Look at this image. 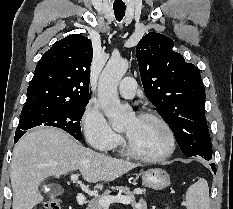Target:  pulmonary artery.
Masks as SVG:
<instances>
[{
	"mask_svg": "<svg viewBox=\"0 0 233 209\" xmlns=\"http://www.w3.org/2000/svg\"><path fill=\"white\" fill-rule=\"evenodd\" d=\"M119 93L124 98H133L136 93V81L132 77H124L118 87Z\"/></svg>",
	"mask_w": 233,
	"mask_h": 209,
	"instance_id": "obj_1",
	"label": "pulmonary artery"
}]
</instances>
